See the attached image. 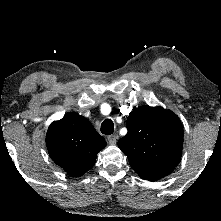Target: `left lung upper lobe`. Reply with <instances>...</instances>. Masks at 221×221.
<instances>
[{"mask_svg": "<svg viewBox=\"0 0 221 221\" xmlns=\"http://www.w3.org/2000/svg\"><path fill=\"white\" fill-rule=\"evenodd\" d=\"M127 135L118 141L134 171L155 181L170 174L180 160L183 128L178 116L162 107H138L126 122Z\"/></svg>", "mask_w": 221, "mask_h": 221, "instance_id": "1", "label": "left lung upper lobe"}]
</instances>
